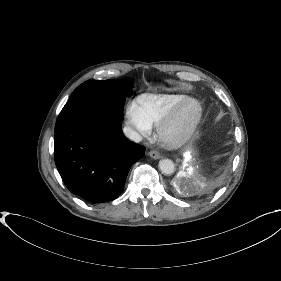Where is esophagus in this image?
<instances>
[{
	"label": "esophagus",
	"instance_id": "esophagus-1",
	"mask_svg": "<svg viewBox=\"0 0 281 281\" xmlns=\"http://www.w3.org/2000/svg\"><path fill=\"white\" fill-rule=\"evenodd\" d=\"M149 156L153 159H159L161 157L160 153L157 150H151L149 152Z\"/></svg>",
	"mask_w": 281,
	"mask_h": 281
}]
</instances>
